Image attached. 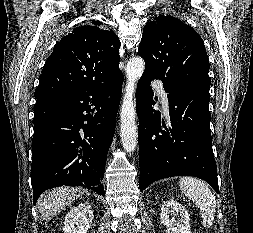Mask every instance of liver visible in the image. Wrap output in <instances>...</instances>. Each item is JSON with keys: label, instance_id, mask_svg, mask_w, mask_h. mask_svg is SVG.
<instances>
[{"label": "liver", "instance_id": "6515ba94", "mask_svg": "<svg viewBox=\"0 0 253 233\" xmlns=\"http://www.w3.org/2000/svg\"><path fill=\"white\" fill-rule=\"evenodd\" d=\"M80 188L61 187L43 194L38 202L41 217L50 220L80 196Z\"/></svg>", "mask_w": 253, "mask_h": 233}]
</instances>
